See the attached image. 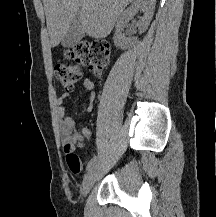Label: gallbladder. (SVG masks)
I'll return each mask as SVG.
<instances>
[{
    "label": "gallbladder",
    "instance_id": "bac80fb5",
    "mask_svg": "<svg viewBox=\"0 0 216 217\" xmlns=\"http://www.w3.org/2000/svg\"><path fill=\"white\" fill-rule=\"evenodd\" d=\"M83 37L84 31L79 16L77 15L71 23L66 35L63 37L61 44L65 48H73Z\"/></svg>",
    "mask_w": 216,
    "mask_h": 217
}]
</instances>
